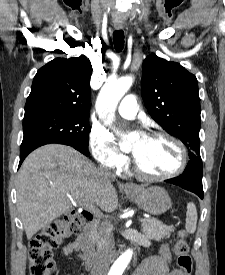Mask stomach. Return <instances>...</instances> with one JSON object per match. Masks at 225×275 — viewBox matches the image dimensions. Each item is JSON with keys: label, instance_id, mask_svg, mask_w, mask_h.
Masks as SVG:
<instances>
[{"label": "stomach", "instance_id": "1", "mask_svg": "<svg viewBox=\"0 0 225 275\" xmlns=\"http://www.w3.org/2000/svg\"><path fill=\"white\" fill-rule=\"evenodd\" d=\"M126 194L151 215H161L171 206L168 193L159 186L136 187L133 191H126Z\"/></svg>", "mask_w": 225, "mask_h": 275}]
</instances>
